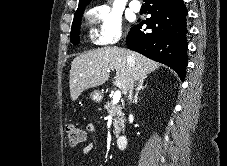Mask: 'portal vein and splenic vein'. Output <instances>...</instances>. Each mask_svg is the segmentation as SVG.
Returning a JSON list of instances; mask_svg holds the SVG:
<instances>
[{"mask_svg":"<svg viewBox=\"0 0 227 166\" xmlns=\"http://www.w3.org/2000/svg\"><path fill=\"white\" fill-rule=\"evenodd\" d=\"M121 99V92L119 90H117L114 95H113V104H117Z\"/></svg>","mask_w":227,"mask_h":166,"instance_id":"18ae733b","label":"portal vein and splenic vein"}]
</instances>
